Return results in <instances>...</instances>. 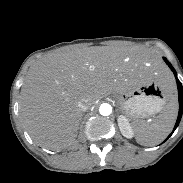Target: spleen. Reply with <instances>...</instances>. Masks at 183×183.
<instances>
[{
	"mask_svg": "<svg viewBox=\"0 0 183 183\" xmlns=\"http://www.w3.org/2000/svg\"><path fill=\"white\" fill-rule=\"evenodd\" d=\"M177 112V102L171 99L151 123L143 120L134 122L136 141L144 146H153L161 143L172 131Z\"/></svg>",
	"mask_w": 183,
	"mask_h": 183,
	"instance_id": "obj_1",
	"label": "spleen"
}]
</instances>
